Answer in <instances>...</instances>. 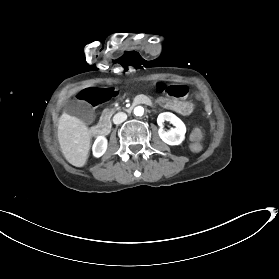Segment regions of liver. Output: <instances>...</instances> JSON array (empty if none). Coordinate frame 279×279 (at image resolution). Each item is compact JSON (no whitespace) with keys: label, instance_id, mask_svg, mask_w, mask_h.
<instances>
[{"label":"liver","instance_id":"1","mask_svg":"<svg viewBox=\"0 0 279 279\" xmlns=\"http://www.w3.org/2000/svg\"><path fill=\"white\" fill-rule=\"evenodd\" d=\"M57 138L65 159L75 167H83L90 145L86 124L63 111L58 121Z\"/></svg>","mask_w":279,"mask_h":279}]
</instances>
